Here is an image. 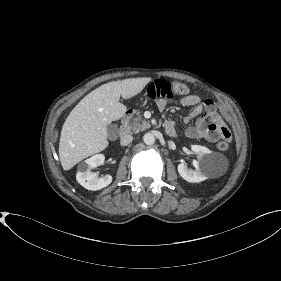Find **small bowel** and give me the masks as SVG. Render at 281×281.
Wrapping results in <instances>:
<instances>
[{"instance_id": "small-bowel-1", "label": "small bowel", "mask_w": 281, "mask_h": 281, "mask_svg": "<svg viewBox=\"0 0 281 281\" xmlns=\"http://www.w3.org/2000/svg\"><path fill=\"white\" fill-rule=\"evenodd\" d=\"M168 101L166 99H157L156 105L160 111H163ZM179 103L186 107H193L192 111L186 116L185 121L200 116L195 125H190L185 130V136L192 139H205L209 142H216L224 138L223 131L227 129L221 115L218 113L214 102L210 99L201 100L197 95H187L179 100ZM166 132L172 136H177V130L174 122L166 121ZM228 130V129H227Z\"/></svg>"}]
</instances>
